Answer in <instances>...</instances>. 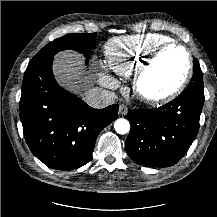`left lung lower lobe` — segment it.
Segmentation results:
<instances>
[{
    "label": "left lung lower lobe",
    "instance_id": "obj_1",
    "mask_svg": "<svg viewBox=\"0 0 217 217\" xmlns=\"http://www.w3.org/2000/svg\"><path fill=\"white\" fill-rule=\"evenodd\" d=\"M203 103V90L189 85L176 99L159 108L131 110L127 154L146 167L177 163L197 135Z\"/></svg>",
    "mask_w": 217,
    "mask_h": 217
}]
</instances>
